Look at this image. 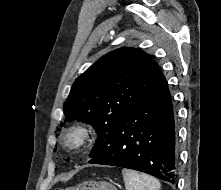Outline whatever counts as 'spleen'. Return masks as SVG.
I'll use <instances>...</instances> for the list:
<instances>
[{
    "mask_svg": "<svg viewBox=\"0 0 221 190\" xmlns=\"http://www.w3.org/2000/svg\"><path fill=\"white\" fill-rule=\"evenodd\" d=\"M122 175L126 190H160V182L147 174L123 169Z\"/></svg>",
    "mask_w": 221,
    "mask_h": 190,
    "instance_id": "spleen-1",
    "label": "spleen"
}]
</instances>
